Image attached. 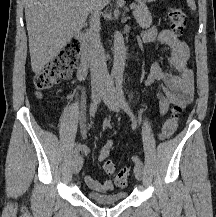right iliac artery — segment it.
<instances>
[{
	"label": "right iliac artery",
	"mask_w": 216,
	"mask_h": 217,
	"mask_svg": "<svg viewBox=\"0 0 216 217\" xmlns=\"http://www.w3.org/2000/svg\"><path fill=\"white\" fill-rule=\"evenodd\" d=\"M112 79H113V77H112ZM96 110H97V102L91 103V105H90V115L92 117H94V115L96 113ZM79 151H80L79 146H76L74 151H73L74 157L78 156Z\"/></svg>",
	"instance_id": "obj_1"
}]
</instances>
